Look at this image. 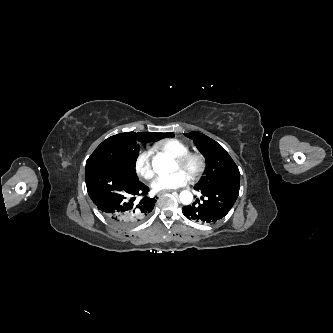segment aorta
Here are the masks:
<instances>
[{
	"instance_id": "1",
	"label": "aorta",
	"mask_w": 333,
	"mask_h": 333,
	"mask_svg": "<svg viewBox=\"0 0 333 333\" xmlns=\"http://www.w3.org/2000/svg\"><path fill=\"white\" fill-rule=\"evenodd\" d=\"M152 167L158 175H167L177 169V164L173 158L159 155L153 159ZM179 198L182 204L189 205L193 200V195L189 191H182Z\"/></svg>"
}]
</instances>
